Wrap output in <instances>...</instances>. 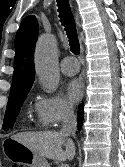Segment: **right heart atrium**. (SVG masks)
Here are the masks:
<instances>
[{"label": "right heart atrium", "mask_w": 125, "mask_h": 167, "mask_svg": "<svg viewBox=\"0 0 125 167\" xmlns=\"http://www.w3.org/2000/svg\"><path fill=\"white\" fill-rule=\"evenodd\" d=\"M36 122L43 128L57 127L73 114L71 106L60 96L38 93L33 104Z\"/></svg>", "instance_id": "d8ad5b80"}]
</instances>
